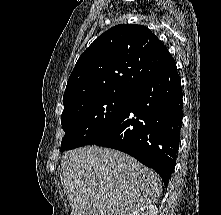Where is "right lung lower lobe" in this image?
<instances>
[{
	"instance_id": "obj_1",
	"label": "right lung lower lobe",
	"mask_w": 221,
	"mask_h": 215,
	"mask_svg": "<svg viewBox=\"0 0 221 215\" xmlns=\"http://www.w3.org/2000/svg\"><path fill=\"white\" fill-rule=\"evenodd\" d=\"M175 62L131 94L115 123L91 144L123 151L153 168L166 186L180 140L182 91Z\"/></svg>"
}]
</instances>
